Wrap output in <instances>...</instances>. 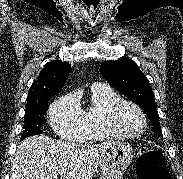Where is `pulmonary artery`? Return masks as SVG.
I'll list each match as a JSON object with an SVG mask.
<instances>
[{
    "instance_id": "e3ab8cb5",
    "label": "pulmonary artery",
    "mask_w": 183,
    "mask_h": 179,
    "mask_svg": "<svg viewBox=\"0 0 183 179\" xmlns=\"http://www.w3.org/2000/svg\"><path fill=\"white\" fill-rule=\"evenodd\" d=\"M97 87H106L105 85H102V84H100V83H95L94 85H93V88H97Z\"/></svg>"
}]
</instances>
